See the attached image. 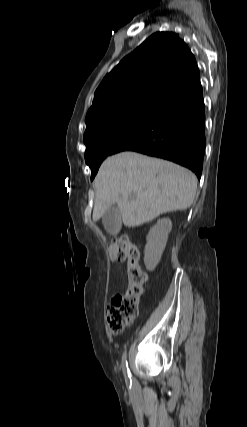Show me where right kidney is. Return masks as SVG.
I'll return each instance as SVG.
<instances>
[{
  "label": "right kidney",
  "mask_w": 247,
  "mask_h": 427,
  "mask_svg": "<svg viewBox=\"0 0 247 427\" xmlns=\"http://www.w3.org/2000/svg\"><path fill=\"white\" fill-rule=\"evenodd\" d=\"M171 229L172 222L169 218L158 220L150 229L144 250V263L148 271H153L160 262Z\"/></svg>",
  "instance_id": "obj_1"
}]
</instances>
